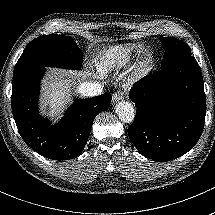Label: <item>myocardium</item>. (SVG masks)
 Segmentation results:
<instances>
[{"mask_svg": "<svg viewBox=\"0 0 215 215\" xmlns=\"http://www.w3.org/2000/svg\"><path fill=\"white\" fill-rule=\"evenodd\" d=\"M137 80H138L137 76H131L125 81L124 87L127 89H131L136 84Z\"/></svg>", "mask_w": 215, "mask_h": 215, "instance_id": "myocardium-1", "label": "myocardium"}]
</instances>
